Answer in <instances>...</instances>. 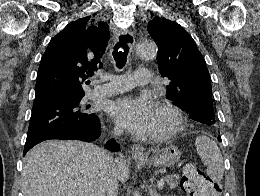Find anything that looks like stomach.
Wrapping results in <instances>:
<instances>
[{
    "label": "stomach",
    "mask_w": 260,
    "mask_h": 196,
    "mask_svg": "<svg viewBox=\"0 0 260 196\" xmlns=\"http://www.w3.org/2000/svg\"><path fill=\"white\" fill-rule=\"evenodd\" d=\"M181 152L177 146H168V148H154L153 156L150 160H135L143 166H155V168H165V166H174L179 162Z\"/></svg>",
    "instance_id": "obj_1"
}]
</instances>
